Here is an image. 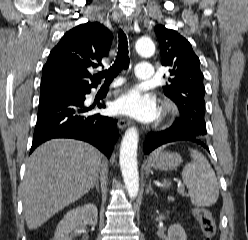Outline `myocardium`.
I'll return each instance as SVG.
<instances>
[{"mask_svg": "<svg viewBox=\"0 0 248 240\" xmlns=\"http://www.w3.org/2000/svg\"><path fill=\"white\" fill-rule=\"evenodd\" d=\"M179 114L178 106L171 100L163 101L160 108V115L164 120H174Z\"/></svg>", "mask_w": 248, "mask_h": 240, "instance_id": "myocardium-1", "label": "myocardium"}]
</instances>
